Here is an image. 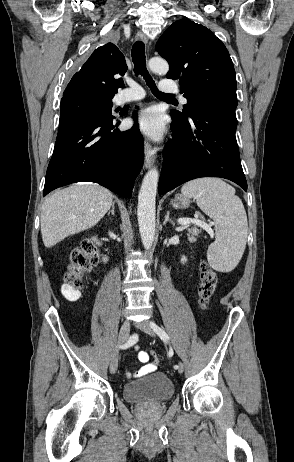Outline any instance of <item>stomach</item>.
<instances>
[{
	"label": "stomach",
	"mask_w": 294,
	"mask_h": 462,
	"mask_svg": "<svg viewBox=\"0 0 294 462\" xmlns=\"http://www.w3.org/2000/svg\"><path fill=\"white\" fill-rule=\"evenodd\" d=\"M171 204L176 209H184L189 206V200L181 195H176Z\"/></svg>",
	"instance_id": "0dacf381"
}]
</instances>
